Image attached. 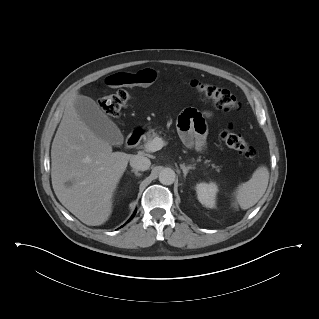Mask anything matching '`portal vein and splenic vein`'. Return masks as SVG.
<instances>
[{
  "label": "portal vein and splenic vein",
  "mask_w": 319,
  "mask_h": 319,
  "mask_svg": "<svg viewBox=\"0 0 319 319\" xmlns=\"http://www.w3.org/2000/svg\"><path fill=\"white\" fill-rule=\"evenodd\" d=\"M165 145V142L160 137L154 138L147 145H145V149L147 152H156Z\"/></svg>",
  "instance_id": "18ae733b"
}]
</instances>
